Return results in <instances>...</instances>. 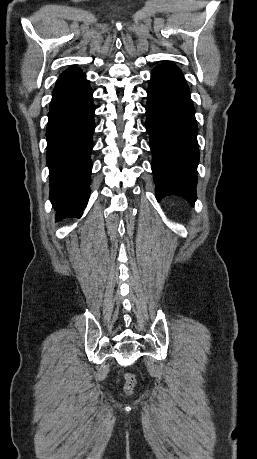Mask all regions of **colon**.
<instances>
[{"mask_svg": "<svg viewBox=\"0 0 257 459\" xmlns=\"http://www.w3.org/2000/svg\"><path fill=\"white\" fill-rule=\"evenodd\" d=\"M124 380V391L128 394L132 393L136 386V379L131 374H125L123 377Z\"/></svg>", "mask_w": 257, "mask_h": 459, "instance_id": "colon-1", "label": "colon"}]
</instances>
